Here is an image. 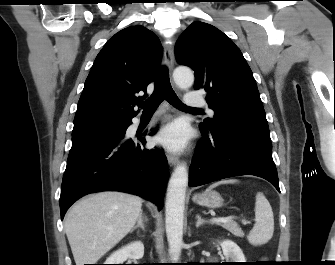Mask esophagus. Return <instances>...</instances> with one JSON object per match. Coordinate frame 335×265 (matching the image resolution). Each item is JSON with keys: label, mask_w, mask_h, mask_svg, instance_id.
I'll return each mask as SVG.
<instances>
[{"label": "esophagus", "mask_w": 335, "mask_h": 265, "mask_svg": "<svg viewBox=\"0 0 335 265\" xmlns=\"http://www.w3.org/2000/svg\"><path fill=\"white\" fill-rule=\"evenodd\" d=\"M164 63L171 71L174 65V49L172 43H166L164 46ZM167 159L170 165H176L179 162V157L173 153H167Z\"/></svg>", "instance_id": "1"}]
</instances>
